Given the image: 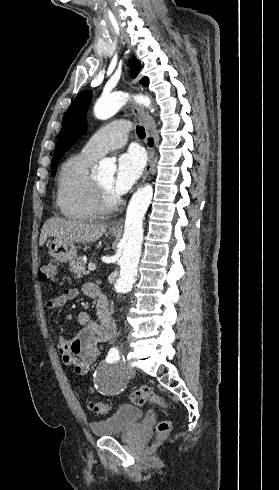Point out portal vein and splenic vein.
<instances>
[{"mask_svg": "<svg viewBox=\"0 0 279 490\" xmlns=\"http://www.w3.org/2000/svg\"><path fill=\"white\" fill-rule=\"evenodd\" d=\"M88 270H96L95 264H91V262H89V264H88Z\"/></svg>", "mask_w": 279, "mask_h": 490, "instance_id": "obj_1", "label": "portal vein and splenic vein"}]
</instances>
